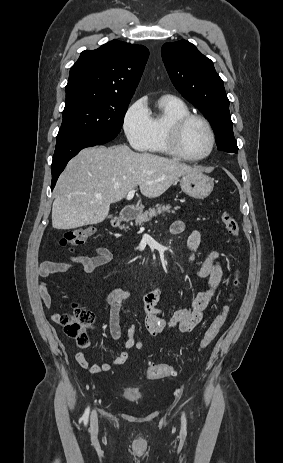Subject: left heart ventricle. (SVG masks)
Instances as JSON below:
<instances>
[{"label": "left heart ventricle", "instance_id": "b2bd125f", "mask_svg": "<svg viewBox=\"0 0 283 463\" xmlns=\"http://www.w3.org/2000/svg\"><path fill=\"white\" fill-rule=\"evenodd\" d=\"M210 146L206 127L200 121L190 122L181 135L180 147L184 154L198 157L205 154Z\"/></svg>", "mask_w": 283, "mask_h": 463}]
</instances>
